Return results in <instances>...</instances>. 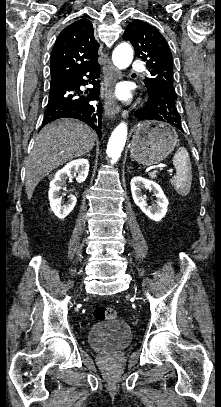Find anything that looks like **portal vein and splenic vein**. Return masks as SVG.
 <instances>
[{"label": "portal vein and splenic vein", "instance_id": "18ae733b", "mask_svg": "<svg viewBox=\"0 0 221 407\" xmlns=\"http://www.w3.org/2000/svg\"><path fill=\"white\" fill-rule=\"evenodd\" d=\"M160 171H166L167 173H169L170 175L173 174V170L172 169H165L163 166H159Z\"/></svg>", "mask_w": 221, "mask_h": 407}]
</instances>
